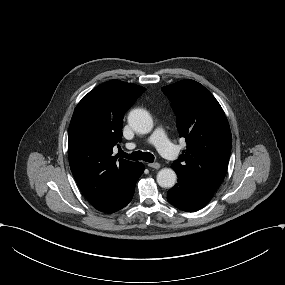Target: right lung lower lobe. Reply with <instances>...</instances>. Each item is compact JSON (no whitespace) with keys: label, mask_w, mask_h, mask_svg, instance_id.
<instances>
[{"label":"right lung lower lobe","mask_w":285,"mask_h":285,"mask_svg":"<svg viewBox=\"0 0 285 285\" xmlns=\"http://www.w3.org/2000/svg\"><path fill=\"white\" fill-rule=\"evenodd\" d=\"M143 171H144V166L142 163H140L137 166L135 172L127 180L117 201L112 206H110L109 208H107L102 212L113 213L125 207L132 200L135 191V184L139 179V177L141 176V174L143 173Z\"/></svg>","instance_id":"obj_1"}]
</instances>
